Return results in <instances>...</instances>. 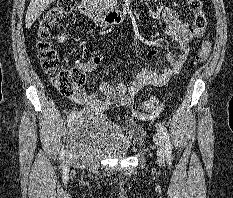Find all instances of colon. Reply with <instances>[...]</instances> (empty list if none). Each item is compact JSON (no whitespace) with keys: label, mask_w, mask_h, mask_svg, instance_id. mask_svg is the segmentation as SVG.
Wrapping results in <instances>:
<instances>
[{"label":"colon","mask_w":233,"mask_h":198,"mask_svg":"<svg viewBox=\"0 0 233 198\" xmlns=\"http://www.w3.org/2000/svg\"><path fill=\"white\" fill-rule=\"evenodd\" d=\"M189 10L193 13V27L197 36H200L207 24L202 10L201 0H187ZM76 7V0H58L49 8L38 21L35 28L39 60L45 72L51 77L55 87L65 95H71L84 82V73L80 66L61 68L56 50L50 43L52 31L60 22L70 15ZM210 42L204 40L201 44L198 62L206 61L210 55ZM140 107L150 115H156L162 110V103L155 98L141 102Z\"/></svg>","instance_id":"obj_1"}]
</instances>
